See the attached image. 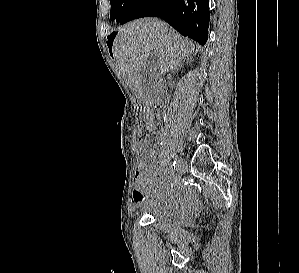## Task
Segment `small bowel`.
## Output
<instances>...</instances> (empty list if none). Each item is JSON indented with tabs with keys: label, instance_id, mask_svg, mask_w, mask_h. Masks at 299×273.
<instances>
[{
	"label": "small bowel",
	"instance_id": "obj_1",
	"mask_svg": "<svg viewBox=\"0 0 299 273\" xmlns=\"http://www.w3.org/2000/svg\"><path fill=\"white\" fill-rule=\"evenodd\" d=\"M145 125L150 132L156 130V121L151 111L147 112ZM140 150L148 158H153L155 155L152 147L147 150L140 147ZM145 195L151 196V204L156 209H173L186 212L193 207L181 187L161 180V164L159 161L149 165L140 162L138 165L134 176L132 202L134 204L141 203Z\"/></svg>",
	"mask_w": 299,
	"mask_h": 273
}]
</instances>
